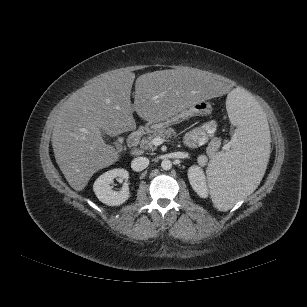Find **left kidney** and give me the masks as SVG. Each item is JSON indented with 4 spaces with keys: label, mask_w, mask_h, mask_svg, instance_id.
<instances>
[{
    "label": "left kidney",
    "mask_w": 307,
    "mask_h": 307,
    "mask_svg": "<svg viewBox=\"0 0 307 307\" xmlns=\"http://www.w3.org/2000/svg\"><path fill=\"white\" fill-rule=\"evenodd\" d=\"M188 178L192 188L202 198L208 197V188L203 169L198 165H193L188 169Z\"/></svg>",
    "instance_id": "obj_1"
}]
</instances>
